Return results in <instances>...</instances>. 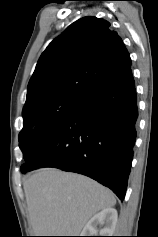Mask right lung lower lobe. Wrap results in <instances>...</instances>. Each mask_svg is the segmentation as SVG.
Wrapping results in <instances>:
<instances>
[{
	"instance_id": "1",
	"label": "right lung lower lobe",
	"mask_w": 158,
	"mask_h": 237,
	"mask_svg": "<svg viewBox=\"0 0 158 237\" xmlns=\"http://www.w3.org/2000/svg\"><path fill=\"white\" fill-rule=\"evenodd\" d=\"M132 71L94 91L39 147L22 173L56 167L93 178L123 201L136 140Z\"/></svg>"
}]
</instances>
